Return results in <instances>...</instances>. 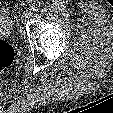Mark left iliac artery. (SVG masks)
I'll use <instances>...</instances> for the list:
<instances>
[{
	"mask_svg": "<svg viewBox=\"0 0 113 113\" xmlns=\"http://www.w3.org/2000/svg\"><path fill=\"white\" fill-rule=\"evenodd\" d=\"M41 3L39 1L34 2L32 5V11L36 12L39 10Z\"/></svg>",
	"mask_w": 113,
	"mask_h": 113,
	"instance_id": "44dca946",
	"label": "left iliac artery"
}]
</instances>
